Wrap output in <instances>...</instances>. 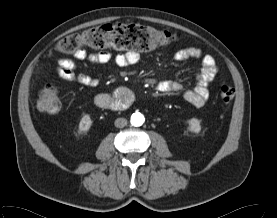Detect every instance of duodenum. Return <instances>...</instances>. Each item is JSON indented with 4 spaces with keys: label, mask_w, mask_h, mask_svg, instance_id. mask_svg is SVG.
Instances as JSON below:
<instances>
[{
    "label": "duodenum",
    "mask_w": 277,
    "mask_h": 218,
    "mask_svg": "<svg viewBox=\"0 0 277 218\" xmlns=\"http://www.w3.org/2000/svg\"><path fill=\"white\" fill-rule=\"evenodd\" d=\"M132 95L126 92L116 98H111L106 94H98L95 98V103L98 107L111 111H119L127 108L132 103Z\"/></svg>",
    "instance_id": "410a0bca"
}]
</instances>
